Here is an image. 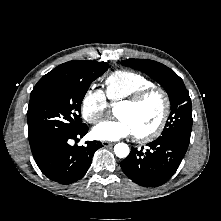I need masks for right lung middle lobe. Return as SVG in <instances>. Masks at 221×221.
<instances>
[{
    "label": "right lung middle lobe",
    "instance_id": "1",
    "mask_svg": "<svg viewBox=\"0 0 221 221\" xmlns=\"http://www.w3.org/2000/svg\"><path fill=\"white\" fill-rule=\"evenodd\" d=\"M107 69L106 62L69 61L64 74L35 85L27 111L31 149L84 125L80 114L82 100L90 84Z\"/></svg>",
    "mask_w": 221,
    "mask_h": 221
}]
</instances>
